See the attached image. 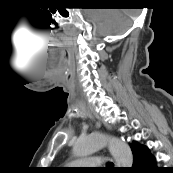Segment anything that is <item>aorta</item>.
Listing matches in <instances>:
<instances>
[{"label": "aorta", "instance_id": "1", "mask_svg": "<svg viewBox=\"0 0 173 173\" xmlns=\"http://www.w3.org/2000/svg\"><path fill=\"white\" fill-rule=\"evenodd\" d=\"M108 146L115 159L117 167H132L133 155L127 143L117 137L102 133L92 134L77 140L73 152L78 157H84Z\"/></svg>", "mask_w": 173, "mask_h": 173}]
</instances>
